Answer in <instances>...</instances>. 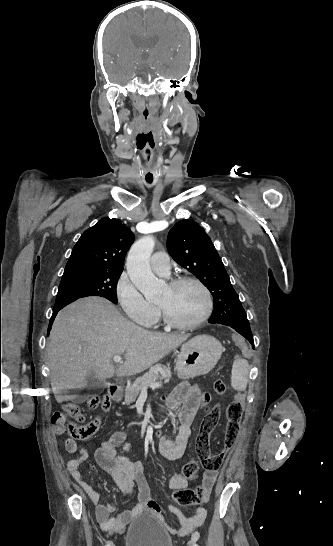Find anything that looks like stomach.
I'll use <instances>...</instances> for the list:
<instances>
[{"mask_svg":"<svg viewBox=\"0 0 333 546\" xmlns=\"http://www.w3.org/2000/svg\"><path fill=\"white\" fill-rule=\"evenodd\" d=\"M223 347L215 337L197 335L182 345L176 360V371L181 378H194L209 373L217 364Z\"/></svg>","mask_w":333,"mask_h":546,"instance_id":"obj_1","label":"stomach"}]
</instances>
